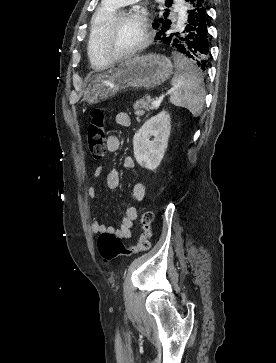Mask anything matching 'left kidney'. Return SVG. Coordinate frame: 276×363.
I'll list each match as a JSON object with an SVG mask.
<instances>
[{
    "instance_id": "1",
    "label": "left kidney",
    "mask_w": 276,
    "mask_h": 363,
    "mask_svg": "<svg viewBox=\"0 0 276 363\" xmlns=\"http://www.w3.org/2000/svg\"><path fill=\"white\" fill-rule=\"evenodd\" d=\"M171 118L162 111L147 120L133 137L134 157L148 170H155L161 163L168 145ZM153 137V140H150Z\"/></svg>"
}]
</instances>
